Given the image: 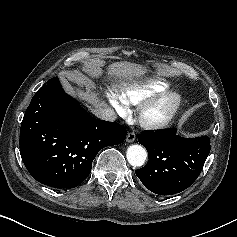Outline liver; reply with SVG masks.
Returning a JSON list of instances; mask_svg holds the SVG:
<instances>
[{
	"label": "liver",
	"instance_id": "1",
	"mask_svg": "<svg viewBox=\"0 0 237 237\" xmlns=\"http://www.w3.org/2000/svg\"><path fill=\"white\" fill-rule=\"evenodd\" d=\"M107 71L110 75L123 77H131L135 75L137 76L145 73V69H143L142 66L130 62L110 64ZM62 82L70 94L77 97L81 101L86 102V104H90L94 108L104 105V103L99 99L98 93H96L95 91L91 89L82 90L80 87L71 85L66 79H62Z\"/></svg>",
	"mask_w": 237,
	"mask_h": 237
}]
</instances>
